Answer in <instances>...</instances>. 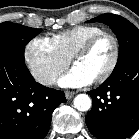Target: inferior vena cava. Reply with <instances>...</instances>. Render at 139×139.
Returning <instances> with one entry per match:
<instances>
[{
	"label": "inferior vena cava",
	"instance_id": "obj_1",
	"mask_svg": "<svg viewBox=\"0 0 139 139\" xmlns=\"http://www.w3.org/2000/svg\"><path fill=\"white\" fill-rule=\"evenodd\" d=\"M56 77L51 73H43L39 76L38 81L43 85H51L54 83Z\"/></svg>",
	"mask_w": 139,
	"mask_h": 139
}]
</instances>
